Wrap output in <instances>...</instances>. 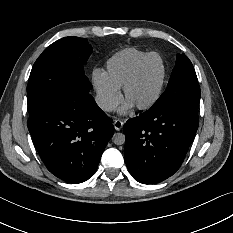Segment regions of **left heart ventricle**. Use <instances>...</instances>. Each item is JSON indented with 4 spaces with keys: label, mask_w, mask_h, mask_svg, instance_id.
I'll use <instances>...</instances> for the list:
<instances>
[{
    "label": "left heart ventricle",
    "mask_w": 233,
    "mask_h": 233,
    "mask_svg": "<svg viewBox=\"0 0 233 233\" xmlns=\"http://www.w3.org/2000/svg\"><path fill=\"white\" fill-rule=\"evenodd\" d=\"M164 62L153 57L129 88L127 98L136 106L150 103L158 94L164 78Z\"/></svg>",
    "instance_id": "obj_1"
}]
</instances>
